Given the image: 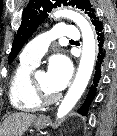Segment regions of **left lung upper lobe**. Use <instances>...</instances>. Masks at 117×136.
Listing matches in <instances>:
<instances>
[{
    "label": "left lung upper lobe",
    "mask_w": 117,
    "mask_h": 136,
    "mask_svg": "<svg viewBox=\"0 0 117 136\" xmlns=\"http://www.w3.org/2000/svg\"><path fill=\"white\" fill-rule=\"evenodd\" d=\"M61 4L64 6H76L85 11L91 18L93 25L99 21L94 8L88 0H30L23 11L22 23L14 38L12 50L8 57L9 63L18 55L24 43L35 32L39 24L48 17L47 12H50L53 7L55 8Z\"/></svg>",
    "instance_id": "1"
}]
</instances>
